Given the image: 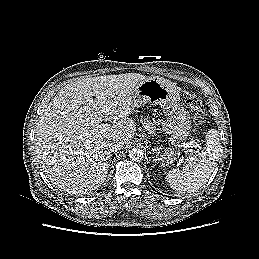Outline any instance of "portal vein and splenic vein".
<instances>
[{
    "instance_id": "obj_1",
    "label": "portal vein and splenic vein",
    "mask_w": 259,
    "mask_h": 259,
    "mask_svg": "<svg viewBox=\"0 0 259 259\" xmlns=\"http://www.w3.org/2000/svg\"><path fill=\"white\" fill-rule=\"evenodd\" d=\"M100 128L106 130L108 128V125L107 124H102L100 125ZM185 147H188V148H200L199 144H194L193 142H190V143H186L184 144Z\"/></svg>"
}]
</instances>
